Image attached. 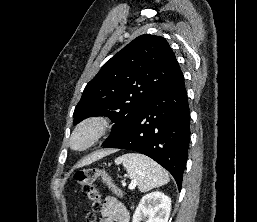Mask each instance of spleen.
<instances>
[{"label": "spleen", "instance_id": "3e777b00", "mask_svg": "<svg viewBox=\"0 0 257 222\" xmlns=\"http://www.w3.org/2000/svg\"><path fill=\"white\" fill-rule=\"evenodd\" d=\"M115 163L123 165L141 192L167 184L170 180L168 173L159 164L139 153L124 154L118 157Z\"/></svg>", "mask_w": 257, "mask_h": 222}]
</instances>
